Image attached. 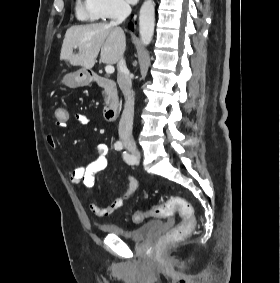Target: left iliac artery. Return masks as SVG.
Masks as SVG:
<instances>
[{
	"label": "left iliac artery",
	"instance_id": "44dca946",
	"mask_svg": "<svg viewBox=\"0 0 280 283\" xmlns=\"http://www.w3.org/2000/svg\"><path fill=\"white\" fill-rule=\"evenodd\" d=\"M123 158L127 163H132V161H133L132 156L129 155L128 153H126V152L123 153Z\"/></svg>",
	"mask_w": 280,
	"mask_h": 283
}]
</instances>
